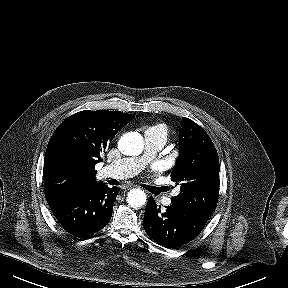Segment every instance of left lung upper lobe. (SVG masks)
Here are the masks:
<instances>
[{
	"label": "left lung upper lobe",
	"instance_id": "1",
	"mask_svg": "<svg viewBox=\"0 0 288 288\" xmlns=\"http://www.w3.org/2000/svg\"><path fill=\"white\" fill-rule=\"evenodd\" d=\"M180 149L171 181L180 193L171 202L211 216L219 196V158L209 135L198 124L182 118Z\"/></svg>",
	"mask_w": 288,
	"mask_h": 288
}]
</instances>
